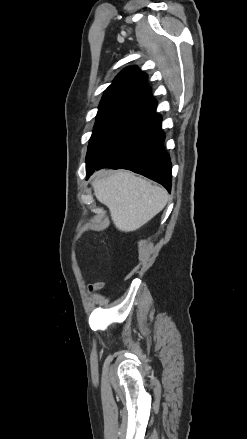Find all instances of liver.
<instances>
[{
	"label": "liver",
	"mask_w": 247,
	"mask_h": 439,
	"mask_svg": "<svg viewBox=\"0 0 247 439\" xmlns=\"http://www.w3.org/2000/svg\"><path fill=\"white\" fill-rule=\"evenodd\" d=\"M99 202L108 207L115 227L132 232L167 204V191L129 171L96 173L92 182Z\"/></svg>",
	"instance_id": "liver-1"
}]
</instances>
